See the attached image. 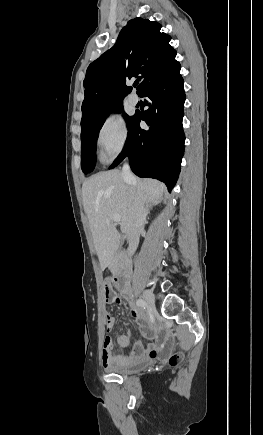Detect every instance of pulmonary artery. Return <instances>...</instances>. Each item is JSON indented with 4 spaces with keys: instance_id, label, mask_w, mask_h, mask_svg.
<instances>
[{
    "instance_id": "1",
    "label": "pulmonary artery",
    "mask_w": 263,
    "mask_h": 435,
    "mask_svg": "<svg viewBox=\"0 0 263 435\" xmlns=\"http://www.w3.org/2000/svg\"><path fill=\"white\" fill-rule=\"evenodd\" d=\"M128 101L131 105H137L139 103V98L137 95L132 94V95H130Z\"/></svg>"
}]
</instances>
